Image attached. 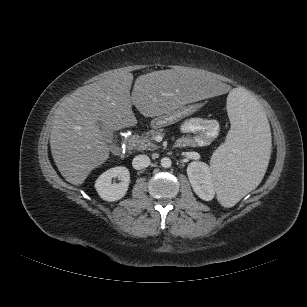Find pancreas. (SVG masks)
Listing matches in <instances>:
<instances>
[{"label":"pancreas","instance_id":"pancreas-1","mask_svg":"<svg viewBox=\"0 0 307 307\" xmlns=\"http://www.w3.org/2000/svg\"><path fill=\"white\" fill-rule=\"evenodd\" d=\"M162 129L158 130H150L141 136L137 135L134 137V146L138 148V150H155L158 148V145L154 142V137L157 134L162 133Z\"/></svg>","mask_w":307,"mask_h":307}]
</instances>
